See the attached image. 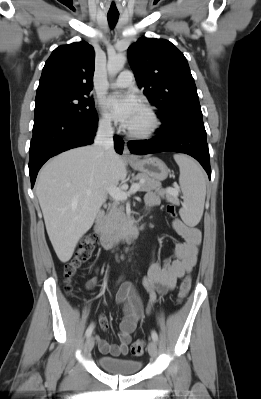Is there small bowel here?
Masks as SVG:
<instances>
[{"label": "small bowel", "instance_id": "c3829d8e", "mask_svg": "<svg viewBox=\"0 0 261 399\" xmlns=\"http://www.w3.org/2000/svg\"><path fill=\"white\" fill-rule=\"evenodd\" d=\"M147 208H152L160 204L159 196L154 192H148L145 196ZM174 230L184 238V242L177 243L172 248L171 256L162 262L154 260L144 277L142 284L149 294L148 311L152 308L156 292L166 293L172 290L177 279L190 272L197 263L199 248L202 242V235L197 227L184 224L181 220L175 219L172 222ZM95 285V280L87 282L86 287L91 289ZM116 303L123 305L124 316L119 324V343L112 344L98 335L95 340L99 351L102 354L112 356L126 355L132 341L134 332L143 314L141 299L131 282H124L117 294ZM99 324L103 331H108V320L104 315L99 317Z\"/></svg>", "mask_w": 261, "mask_h": 399}]
</instances>
